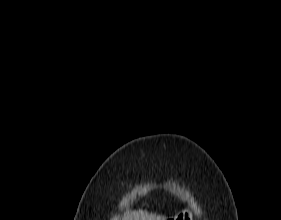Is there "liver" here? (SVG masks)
Returning a JSON list of instances; mask_svg holds the SVG:
<instances>
[{
    "label": "liver",
    "mask_w": 281,
    "mask_h": 220,
    "mask_svg": "<svg viewBox=\"0 0 281 220\" xmlns=\"http://www.w3.org/2000/svg\"><path fill=\"white\" fill-rule=\"evenodd\" d=\"M122 220H165L164 216L148 213L146 210L127 211Z\"/></svg>",
    "instance_id": "obj_1"
}]
</instances>
